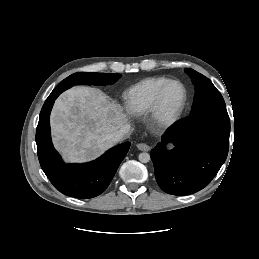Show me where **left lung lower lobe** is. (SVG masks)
I'll return each mask as SVG.
<instances>
[{"instance_id":"1","label":"left lung lower lobe","mask_w":259,"mask_h":259,"mask_svg":"<svg viewBox=\"0 0 259 259\" xmlns=\"http://www.w3.org/2000/svg\"><path fill=\"white\" fill-rule=\"evenodd\" d=\"M229 135L226 109L200 111L176 123L150 152L158 185L173 195L206 187L227 158ZM169 142L175 147L166 150Z\"/></svg>"}]
</instances>
